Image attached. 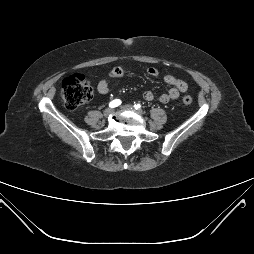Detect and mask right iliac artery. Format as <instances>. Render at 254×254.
I'll list each match as a JSON object with an SVG mask.
<instances>
[{
    "label": "right iliac artery",
    "mask_w": 254,
    "mask_h": 254,
    "mask_svg": "<svg viewBox=\"0 0 254 254\" xmlns=\"http://www.w3.org/2000/svg\"><path fill=\"white\" fill-rule=\"evenodd\" d=\"M120 104H121V100L115 99V100H113V101H111V102L109 103V106H110L111 108H114V107L119 106Z\"/></svg>",
    "instance_id": "obj_1"
}]
</instances>
